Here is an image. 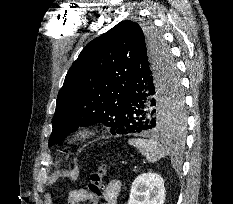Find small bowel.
Masks as SVG:
<instances>
[{"label":"small bowel","instance_id":"obj_1","mask_svg":"<svg viewBox=\"0 0 233 204\" xmlns=\"http://www.w3.org/2000/svg\"><path fill=\"white\" fill-rule=\"evenodd\" d=\"M82 192L84 194L86 193L84 189H82ZM120 192H121V181L116 179L111 180L106 185L102 193V198L104 199L103 204H117ZM83 203L99 204V199L92 200L86 196Z\"/></svg>","mask_w":233,"mask_h":204}]
</instances>
